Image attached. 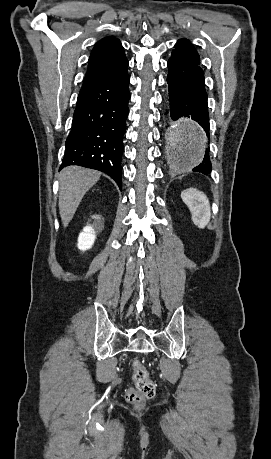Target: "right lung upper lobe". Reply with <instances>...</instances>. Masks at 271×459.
<instances>
[{"label": "right lung upper lobe", "mask_w": 271, "mask_h": 459, "mask_svg": "<svg viewBox=\"0 0 271 459\" xmlns=\"http://www.w3.org/2000/svg\"><path fill=\"white\" fill-rule=\"evenodd\" d=\"M127 66L128 60L120 41L114 37L103 38L91 52L81 89L122 74L127 71Z\"/></svg>", "instance_id": "obj_1"}]
</instances>
